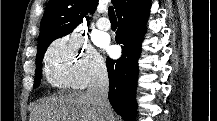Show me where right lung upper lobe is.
Wrapping results in <instances>:
<instances>
[{
    "mask_svg": "<svg viewBox=\"0 0 217 121\" xmlns=\"http://www.w3.org/2000/svg\"><path fill=\"white\" fill-rule=\"evenodd\" d=\"M98 0H49L40 23L38 46L71 33L87 13H93ZM118 14L125 0H111Z\"/></svg>",
    "mask_w": 217,
    "mask_h": 121,
    "instance_id": "right-lung-upper-lobe-1",
    "label": "right lung upper lobe"
}]
</instances>
